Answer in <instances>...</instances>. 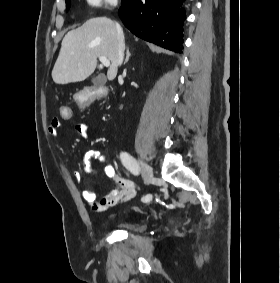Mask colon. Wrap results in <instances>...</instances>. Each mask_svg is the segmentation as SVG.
<instances>
[{
  "label": "colon",
  "mask_w": 280,
  "mask_h": 283,
  "mask_svg": "<svg viewBox=\"0 0 280 283\" xmlns=\"http://www.w3.org/2000/svg\"><path fill=\"white\" fill-rule=\"evenodd\" d=\"M105 95V88L100 86L83 87L82 94H74L75 103H65L58 109L60 119H74V116H79V111H74V108L83 107L90 104L93 100L101 98Z\"/></svg>",
  "instance_id": "5ec220e1"
}]
</instances>
